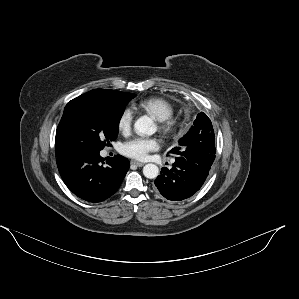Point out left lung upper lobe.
I'll list each match as a JSON object with an SVG mask.
<instances>
[{
  "label": "left lung upper lobe",
  "instance_id": "5c2ea615",
  "mask_svg": "<svg viewBox=\"0 0 299 299\" xmlns=\"http://www.w3.org/2000/svg\"><path fill=\"white\" fill-rule=\"evenodd\" d=\"M169 153L185 157H202L209 165L215 159V135L211 120L203 112L199 113L193 126Z\"/></svg>",
  "mask_w": 299,
  "mask_h": 299
}]
</instances>
